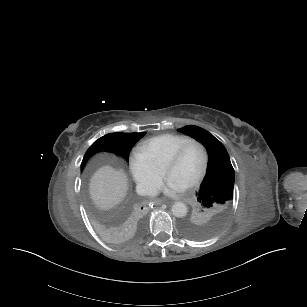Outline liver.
Masks as SVG:
<instances>
[{"label":"liver","instance_id":"obj_1","mask_svg":"<svg viewBox=\"0 0 307 307\" xmlns=\"http://www.w3.org/2000/svg\"><path fill=\"white\" fill-rule=\"evenodd\" d=\"M127 190L128 179L123 169H115L110 165L100 167L90 179V197L102 210H109L119 204Z\"/></svg>","mask_w":307,"mask_h":307}]
</instances>
